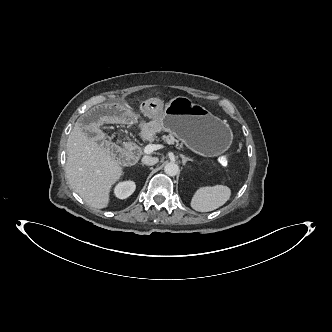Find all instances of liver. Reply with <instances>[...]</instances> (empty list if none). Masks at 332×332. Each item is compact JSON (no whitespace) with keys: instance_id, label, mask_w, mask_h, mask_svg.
<instances>
[{"instance_id":"1","label":"liver","mask_w":332,"mask_h":332,"mask_svg":"<svg viewBox=\"0 0 332 332\" xmlns=\"http://www.w3.org/2000/svg\"><path fill=\"white\" fill-rule=\"evenodd\" d=\"M66 178L71 188L90 206H108L110 190L123 174L110 151L86 136L76 123L67 140Z\"/></svg>"}]
</instances>
